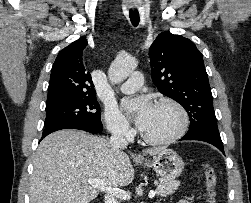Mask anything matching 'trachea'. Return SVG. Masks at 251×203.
Returning <instances> with one entry per match:
<instances>
[{"mask_svg":"<svg viewBox=\"0 0 251 203\" xmlns=\"http://www.w3.org/2000/svg\"><path fill=\"white\" fill-rule=\"evenodd\" d=\"M129 17H130V21L132 25L134 27L138 26L139 21H140L139 12L137 10H134V11L130 10Z\"/></svg>","mask_w":251,"mask_h":203,"instance_id":"trachea-1","label":"trachea"}]
</instances>
